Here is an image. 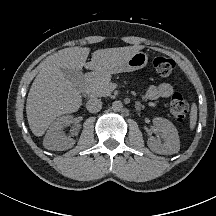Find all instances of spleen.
<instances>
[{
    "instance_id": "1",
    "label": "spleen",
    "mask_w": 216,
    "mask_h": 216,
    "mask_svg": "<svg viewBox=\"0 0 216 216\" xmlns=\"http://www.w3.org/2000/svg\"><path fill=\"white\" fill-rule=\"evenodd\" d=\"M197 121V106L193 104L190 112V129L193 130Z\"/></svg>"
}]
</instances>
